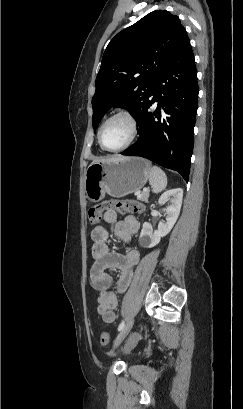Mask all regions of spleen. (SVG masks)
<instances>
[{"instance_id": "3e777b00", "label": "spleen", "mask_w": 243, "mask_h": 409, "mask_svg": "<svg viewBox=\"0 0 243 409\" xmlns=\"http://www.w3.org/2000/svg\"><path fill=\"white\" fill-rule=\"evenodd\" d=\"M149 184L154 193L163 191L167 186V176L162 169L153 166L150 170Z\"/></svg>"}]
</instances>
